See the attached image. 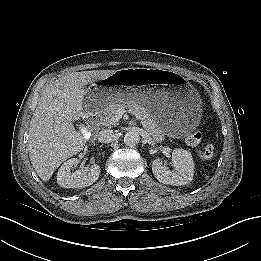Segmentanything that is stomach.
Segmentation results:
<instances>
[{"label":"stomach","instance_id":"stomach-1","mask_svg":"<svg viewBox=\"0 0 261 261\" xmlns=\"http://www.w3.org/2000/svg\"><path fill=\"white\" fill-rule=\"evenodd\" d=\"M101 81L91 85L84 96L88 110L101 111L114 101H134L147 108L162 132L172 137L186 136L198 125L200 96L172 71L128 68Z\"/></svg>","mask_w":261,"mask_h":261}]
</instances>
